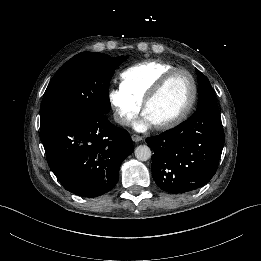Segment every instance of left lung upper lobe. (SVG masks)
Listing matches in <instances>:
<instances>
[{
  "instance_id": "left-lung-upper-lobe-1",
  "label": "left lung upper lobe",
  "mask_w": 261,
  "mask_h": 261,
  "mask_svg": "<svg viewBox=\"0 0 261 261\" xmlns=\"http://www.w3.org/2000/svg\"><path fill=\"white\" fill-rule=\"evenodd\" d=\"M198 77V109L210 104L216 103V97L213 88L207 77L196 69Z\"/></svg>"
}]
</instances>
